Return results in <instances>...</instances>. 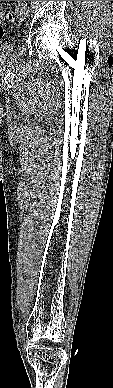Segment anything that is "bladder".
Listing matches in <instances>:
<instances>
[{
  "label": "bladder",
  "mask_w": 113,
  "mask_h": 388,
  "mask_svg": "<svg viewBox=\"0 0 113 388\" xmlns=\"http://www.w3.org/2000/svg\"><path fill=\"white\" fill-rule=\"evenodd\" d=\"M13 49V45L10 43H0V60L6 58Z\"/></svg>",
  "instance_id": "obj_1"
}]
</instances>
